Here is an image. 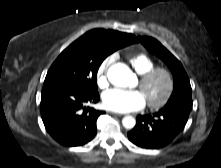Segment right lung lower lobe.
<instances>
[{"instance_id":"right-lung-lower-lobe-1","label":"right lung lower lobe","mask_w":221,"mask_h":168,"mask_svg":"<svg viewBox=\"0 0 221 168\" xmlns=\"http://www.w3.org/2000/svg\"><path fill=\"white\" fill-rule=\"evenodd\" d=\"M99 93L86 92L65 84H44L40 111L47 132L58 143L79 146L91 141L96 121L103 114L86 106L97 103Z\"/></svg>"}]
</instances>
